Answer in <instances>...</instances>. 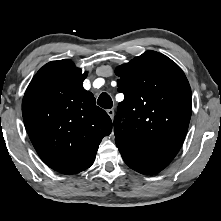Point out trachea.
<instances>
[{"label":"trachea","mask_w":221,"mask_h":221,"mask_svg":"<svg viewBox=\"0 0 221 221\" xmlns=\"http://www.w3.org/2000/svg\"><path fill=\"white\" fill-rule=\"evenodd\" d=\"M97 104L104 109H111L113 106L112 99L107 93H102L99 96Z\"/></svg>","instance_id":"1"}]
</instances>
